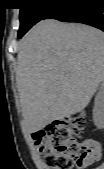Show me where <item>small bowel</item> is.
Segmentation results:
<instances>
[{
    "label": "small bowel",
    "instance_id": "c3829d8e",
    "mask_svg": "<svg viewBox=\"0 0 104 169\" xmlns=\"http://www.w3.org/2000/svg\"><path fill=\"white\" fill-rule=\"evenodd\" d=\"M91 140L93 141L94 145L97 147V149L99 150V153L101 154V144L96 140H93V139Z\"/></svg>",
    "mask_w": 104,
    "mask_h": 169
}]
</instances>
